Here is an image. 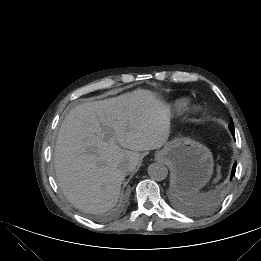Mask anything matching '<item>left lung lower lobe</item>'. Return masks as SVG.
Masks as SVG:
<instances>
[{
    "mask_svg": "<svg viewBox=\"0 0 261 261\" xmlns=\"http://www.w3.org/2000/svg\"><path fill=\"white\" fill-rule=\"evenodd\" d=\"M229 129H230L232 135L235 137L233 122L229 124ZM236 164H237V163H235V164L233 165V169H232V173H231V178H232V177L234 176V174H235Z\"/></svg>",
    "mask_w": 261,
    "mask_h": 261,
    "instance_id": "1",
    "label": "left lung lower lobe"
}]
</instances>
